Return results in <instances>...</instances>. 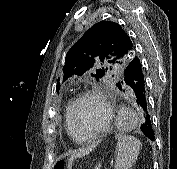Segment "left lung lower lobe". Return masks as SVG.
<instances>
[{"label":"left lung lower lobe","mask_w":177,"mask_h":169,"mask_svg":"<svg viewBox=\"0 0 177 169\" xmlns=\"http://www.w3.org/2000/svg\"><path fill=\"white\" fill-rule=\"evenodd\" d=\"M124 79L118 86L119 89H128L135 96L137 105L143 113L144 121L140 127L143 134L154 141V131L149 115V108L146 99V86L144 68L140 59L134 57L123 70Z\"/></svg>","instance_id":"1"}]
</instances>
